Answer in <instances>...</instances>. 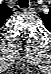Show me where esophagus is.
I'll use <instances>...</instances> for the list:
<instances>
[{
    "label": "esophagus",
    "mask_w": 51,
    "mask_h": 74,
    "mask_svg": "<svg viewBox=\"0 0 51 74\" xmlns=\"http://www.w3.org/2000/svg\"><path fill=\"white\" fill-rule=\"evenodd\" d=\"M23 11L26 13V12L30 11V9L25 8V9H23Z\"/></svg>",
    "instance_id": "obj_1"
}]
</instances>
